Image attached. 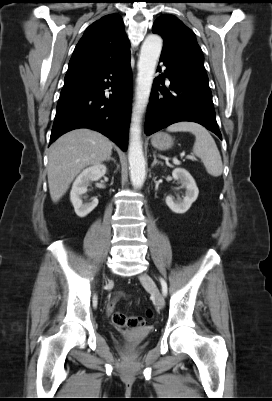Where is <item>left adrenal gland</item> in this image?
Instances as JSON below:
<instances>
[{
    "instance_id": "left-adrenal-gland-1",
    "label": "left adrenal gland",
    "mask_w": 272,
    "mask_h": 401,
    "mask_svg": "<svg viewBox=\"0 0 272 401\" xmlns=\"http://www.w3.org/2000/svg\"><path fill=\"white\" fill-rule=\"evenodd\" d=\"M153 158H154V160H153V163L151 164V167H152V168H153L154 166H156V165H159V164L162 165V162H160V161L157 160L155 154H153Z\"/></svg>"
}]
</instances>
